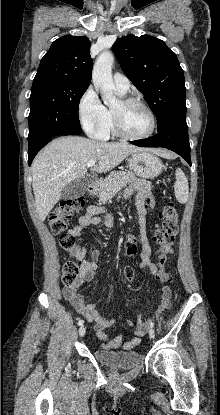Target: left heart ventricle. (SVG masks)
I'll return each instance as SVG.
<instances>
[{
  "label": "left heart ventricle",
  "instance_id": "1",
  "mask_svg": "<svg viewBox=\"0 0 220 415\" xmlns=\"http://www.w3.org/2000/svg\"><path fill=\"white\" fill-rule=\"evenodd\" d=\"M121 119L124 130L133 136L146 134L151 128V118L147 111L138 105L123 106L120 101L113 107Z\"/></svg>",
  "mask_w": 220,
  "mask_h": 415
}]
</instances>
